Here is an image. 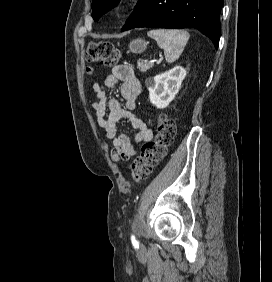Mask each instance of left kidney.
<instances>
[{"label":"left kidney","mask_w":272,"mask_h":282,"mask_svg":"<svg viewBox=\"0 0 272 282\" xmlns=\"http://www.w3.org/2000/svg\"><path fill=\"white\" fill-rule=\"evenodd\" d=\"M186 70L176 66L169 71L146 80L150 102L159 109L166 108L178 93Z\"/></svg>","instance_id":"5707ae66"}]
</instances>
